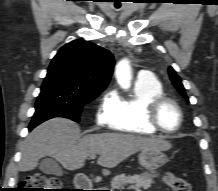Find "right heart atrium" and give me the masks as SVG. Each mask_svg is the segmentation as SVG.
I'll return each mask as SVG.
<instances>
[{
  "label": "right heart atrium",
  "mask_w": 218,
  "mask_h": 191,
  "mask_svg": "<svg viewBox=\"0 0 218 191\" xmlns=\"http://www.w3.org/2000/svg\"><path fill=\"white\" fill-rule=\"evenodd\" d=\"M120 98L116 91H107L96 111V123L100 126L110 125L119 105Z\"/></svg>",
  "instance_id": "obj_1"
}]
</instances>
